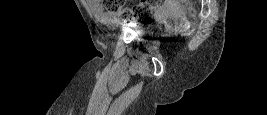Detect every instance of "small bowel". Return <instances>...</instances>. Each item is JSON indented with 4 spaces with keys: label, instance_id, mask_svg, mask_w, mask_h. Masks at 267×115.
<instances>
[{
    "label": "small bowel",
    "instance_id": "obj_1",
    "mask_svg": "<svg viewBox=\"0 0 267 115\" xmlns=\"http://www.w3.org/2000/svg\"><path fill=\"white\" fill-rule=\"evenodd\" d=\"M87 3L89 7L91 8L92 12L95 14V16L103 20L110 19L107 13H105L102 4L98 0H88ZM167 10L176 11L177 5L173 2L168 1L165 3L159 4L156 7V13H163Z\"/></svg>",
    "mask_w": 267,
    "mask_h": 115
}]
</instances>
